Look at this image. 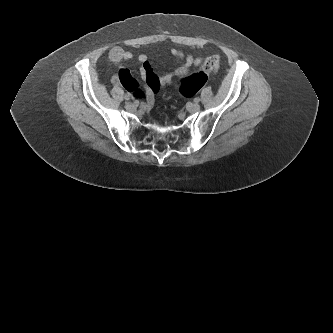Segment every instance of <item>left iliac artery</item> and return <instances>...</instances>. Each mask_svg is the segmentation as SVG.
<instances>
[{
  "label": "left iliac artery",
  "mask_w": 333,
  "mask_h": 333,
  "mask_svg": "<svg viewBox=\"0 0 333 333\" xmlns=\"http://www.w3.org/2000/svg\"><path fill=\"white\" fill-rule=\"evenodd\" d=\"M200 101V98L199 97H196L195 99H194V102H196V103H198Z\"/></svg>",
  "instance_id": "left-iliac-artery-1"
}]
</instances>
